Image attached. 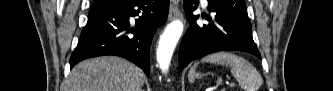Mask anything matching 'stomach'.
<instances>
[{"mask_svg":"<svg viewBox=\"0 0 333 91\" xmlns=\"http://www.w3.org/2000/svg\"><path fill=\"white\" fill-rule=\"evenodd\" d=\"M202 75L200 73L195 74V77H201Z\"/></svg>","mask_w":333,"mask_h":91,"instance_id":"stomach-1","label":"stomach"}]
</instances>
